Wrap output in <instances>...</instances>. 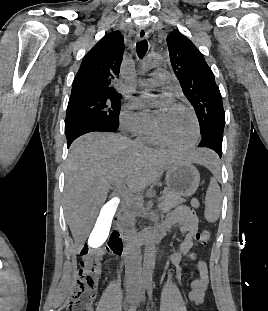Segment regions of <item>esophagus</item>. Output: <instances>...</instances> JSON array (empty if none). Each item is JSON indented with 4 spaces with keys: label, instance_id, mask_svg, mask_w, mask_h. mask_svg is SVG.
<instances>
[{
    "label": "esophagus",
    "instance_id": "esophagus-1",
    "mask_svg": "<svg viewBox=\"0 0 268 311\" xmlns=\"http://www.w3.org/2000/svg\"><path fill=\"white\" fill-rule=\"evenodd\" d=\"M137 37L139 40H144L147 37V31L145 27L141 26L138 28Z\"/></svg>",
    "mask_w": 268,
    "mask_h": 311
}]
</instances>
